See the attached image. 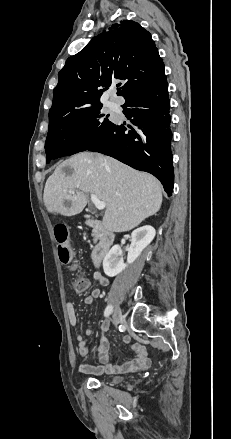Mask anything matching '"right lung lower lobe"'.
Wrapping results in <instances>:
<instances>
[{"label": "right lung lower lobe", "instance_id": "98d812e1", "mask_svg": "<svg viewBox=\"0 0 231 439\" xmlns=\"http://www.w3.org/2000/svg\"><path fill=\"white\" fill-rule=\"evenodd\" d=\"M169 107L168 84L164 77L126 98L123 113L132 125L114 124L87 150L153 174L171 196L174 172Z\"/></svg>", "mask_w": 231, "mask_h": 439}]
</instances>
